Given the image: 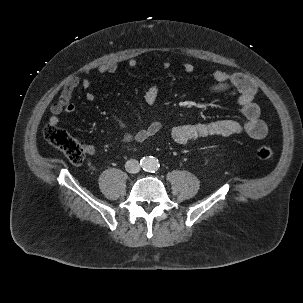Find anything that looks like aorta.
Here are the masks:
<instances>
[{"instance_id":"762f6f07","label":"aorta","mask_w":303,"mask_h":303,"mask_svg":"<svg viewBox=\"0 0 303 303\" xmlns=\"http://www.w3.org/2000/svg\"><path fill=\"white\" fill-rule=\"evenodd\" d=\"M141 165H142L143 169L148 172H155L159 168L158 159H156L153 156L143 158Z\"/></svg>"}]
</instances>
